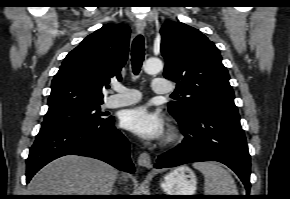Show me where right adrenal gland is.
I'll return each instance as SVG.
<instances>
[{
    "mask_svg": "<svg viewBox=\"0 0 290 199\" xmlns=\"http://www.w3.org/2000/svg\"><path fill=\"white\" fill-rule=\"evenodd\" d=\"M111 195H116V190H115V193H112Z\"/></svg>",
    "mask_w": 290,
    "mask_h": 199,
    "instance_id": "right-adrenal-gland-1",
    "label": "right adrenal gland"
}]
</instances>
